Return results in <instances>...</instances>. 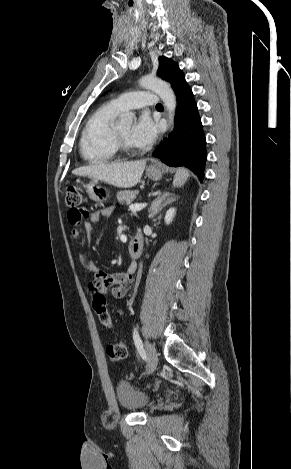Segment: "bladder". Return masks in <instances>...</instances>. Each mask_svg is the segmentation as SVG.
Returning <instances> with one entry per match:
<instances>
[{
  "mask_svg": "<svg viewBox=\"0 0 291 469\" xmlns=\"http://www.w3.org/2000/svg\"><path fill=\"white\" fill-rule=\"evenodd\" d=\"M116 396L122 408L133 412L144 410L150 401L147 394L139 391L127 381H120L117 384Z\"/></svg>",
  "mask_w": 291,
  "mask_h": 469,
  "instance_id": "31cf9c89",
  "label": "bladder"
}]
</instances>
